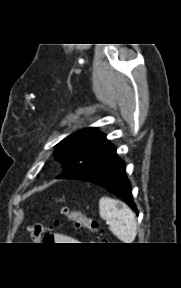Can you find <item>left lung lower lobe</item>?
I'll return each instance as SVG.
<instances>
[{
  "instance_id": "0a47b994",
  "label": "left lung lower lobe",
  "mask_w": 181,
  "mask_h": 288,
  "mask_svg": "<svg viewBox=\"0 0 181 288\" xmlns=\"http://www.w3.org/2000/svg\"><path fill=\"white\" fill-rule=\"evenodd\" d=\"M81 180L97 184L127 203L138 215L132 198L131 184L125 174V163L115 152Z\"/></svg>"
}]
</instances>
